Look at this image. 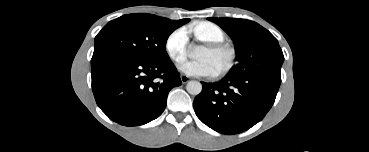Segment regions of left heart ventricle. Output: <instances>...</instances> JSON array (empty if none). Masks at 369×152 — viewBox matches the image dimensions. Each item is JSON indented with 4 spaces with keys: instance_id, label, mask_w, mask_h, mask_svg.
Masks as SVG:
<instances>
[{
    "instance_id": "obj_1",
    "label": "left heart ventricle",
    "mask_w": 369,
    "mask_h": 152,
    "mask_svg": "<svg viewBox=\"0 0 369 152\" xmlns=\"http://www.w3.org/2000/svg\"><path fill=\"white\" fill-rule=\"evenodd\" d=\"M201 57L211 59L214 62L217 70L220 69L226 61V56L224 54L216 53L208 46L202 52Z\"/></svg>"
}]
</instances>
